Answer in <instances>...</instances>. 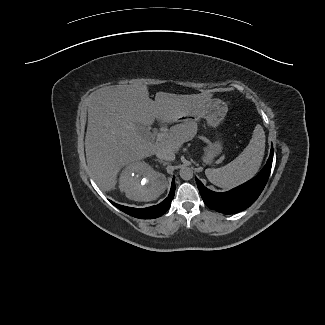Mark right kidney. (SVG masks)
<instances>
[{
    "label": "right kidney",
    "mask_w": 325,
    "mask_h": 325,
    "mask_svg": "<svg viewBox=\"0 0 325 325\" xmlns=\"http://www.w3.org/2000/svg\"><path fill=\"white\" fill-rule=\"evenodd\" d=\"M148 185H145L146 183ZM166 177L154 171L148 164L140 162L129 165L121 174L120 191L135 201H152L165 190Z\"/></svg>",
    "instance_id": "obj_1"
}]
</instances>
